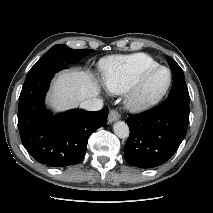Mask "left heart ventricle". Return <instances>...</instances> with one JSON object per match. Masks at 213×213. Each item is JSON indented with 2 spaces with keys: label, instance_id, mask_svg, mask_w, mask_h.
<instances>
[{
  "label": "left heart ventricle",
  "instance_id": "1",
  "mask_svg": "<svg viewBox=\"0 0 213 213\" xmlns=\"http://www.w3.org/2000/svg\"><path fill=\"white\" fill-rule=\"evenodd\" d=\"M168 80V73L166 70H160L154 74L148 81L145 92L147 94H153L161 90Z\"/></svg>",
  "mask_w": 213,
  "mask_h": 213
}]
</instances>
